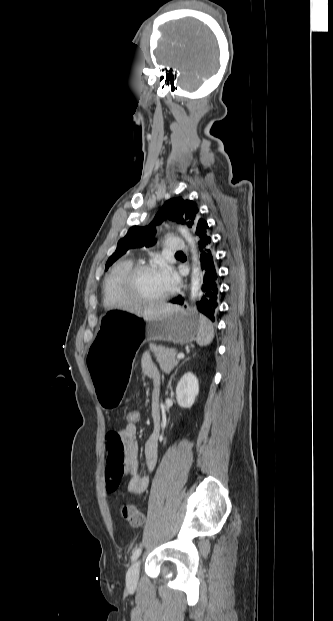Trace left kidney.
Returning <instances> with one entry per match:
<instances>
[{
    "label": "left kidney",
    "mask_w": 333,
    "mask_h": 621,
    "mask_svg": "<svg viewBox=\"0 0 333 621\" xmlns=\"http://www.w3.org/2000/svg\"><path fill=\"white\" fill-rule=\"evenodd\" d=\"M199 393V383L193 373H186L179 381L176 388L178 404L183 408H190Z\"/></svg>",
    "instance_id": "left-kidney-1"
}]
</instances>
